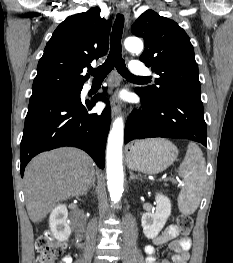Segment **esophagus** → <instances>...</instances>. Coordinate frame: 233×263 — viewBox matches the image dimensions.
<instances>
[{
    "label": "esophagus",
    "instance_id": "esophagus-1",
    "mask_svg": "<svg viewBox=\"0 0 233 263\" xmlns=\"http://www.w3.org/2000/svg\"><path fill=\"white\" fill-rule=\"evenodd\" d=\"M119 11L125 17V21L128 22L130 15L129 7L125 3H121L119 5ZM111 111L113 117L116 116L121 111V103L117 100L116 93H114L112 96Z\"/></svg>",
    "mask_w": 233,
    "mask_h": 263
}]
</instances>
